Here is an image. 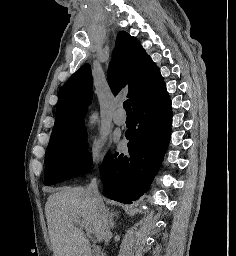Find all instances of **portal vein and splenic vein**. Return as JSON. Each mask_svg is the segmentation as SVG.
<instances>
[{
  "instance_id": "obj_1",
  "label": "portal vein and splenic vein",
  "mask_w": 236,
  "mask_h": 256,
  "mask_svg": "<svg viewBox=\"0 0 236 256\" xmlns=\"http://www.w3.org/2000/svg\"><path fill=\"white\" fill-rule=\"evenodd\" d=\"M73 222H74V224H76V226H80V228H84V230H86L88 236H89V234H92L91 228H88L86 222H83V220H82V218H80V216H74Z\"/></svg>"
}]
</instances>
